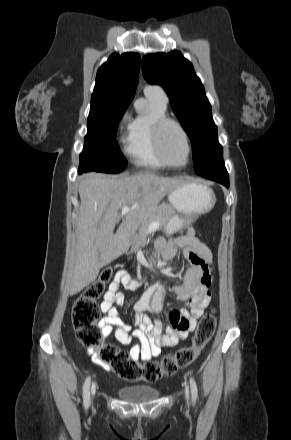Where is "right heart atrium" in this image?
Segmentation results:
<instances>
[{
    "label": "right heart atrium",
    "mask_w": 291,
    "mask_h": 440,
    "mask_svg": "<svg viewBox=\"0 0 291 440\" xmlns=\"http://www.w3.org/2000/svg\"><path fill=\"white\" fill-rule=\"evenodd\" d=\"M127 120V116L125 115L121 120V125Z\"/></svg>",
    "instance_id": "1"
}]
</instances>
